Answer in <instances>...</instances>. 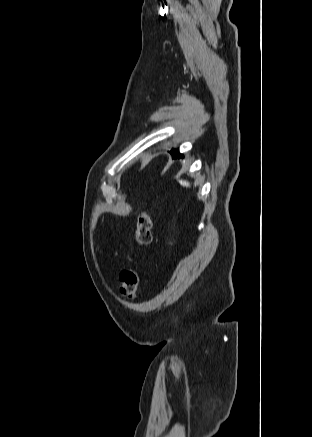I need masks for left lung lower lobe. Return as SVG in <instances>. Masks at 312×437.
Instances as JSON below:
<instances>
[{
  "label": "left lung lower lobe",
  "instance_id": "1",
  "mask_svg": "<svg viewBox=\"0 0 312 437\" xmlns=\"http://www.w3.org/2000/svg\"><path fill=\"white\" fill-rule=\"evenodd\" d=\"M170 153L172 154L173 158H180V157L183 156L182 154L179 153V150H178V149H177V150L172 149V150L170 151Z\"/></svg>",
  "mask_w": 312,
  "mask_h": 437
}]
</instances>
